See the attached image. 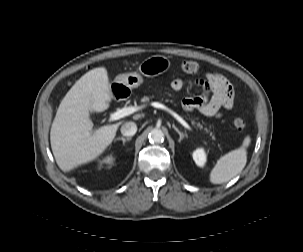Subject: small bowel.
<instances>
[{
  "mask_svg": "<svg viewBox=\"0 0 303 252\" xmlns=\"http://www.w3.org/2000/svg\"><path fill=\"white\" fill-rule=\"evenodd\" d=\"M185 82L181 78L174 79L171 88L180 91ZM195 86L201 93L196 97H185L182 107L185 111L197 110L204 116L219 117L222 109L231 110L234 105L235 89L230 81L213 72L205 73L204 79L197 80Z\"/></svg>",
  "mask_w": 303,
  "mask_h": 252,
  "instance_id": "c3829d8e",
  "label": "small bowel"
}]
</instances>
